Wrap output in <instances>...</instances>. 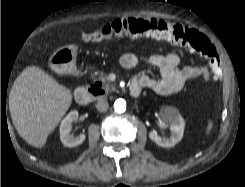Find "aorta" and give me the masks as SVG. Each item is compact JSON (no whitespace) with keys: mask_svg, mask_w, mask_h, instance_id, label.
<instances>
[{"mask_svg":"<svg viewBox=\"0 0 245 187\" xmlns=\"http://www.w3.org/2000/svg\"><path fill=\"white\" fill-rule=\"evenodd\" d=\"M114 108L117 112H124L126 110V101L124 99H117L114 103Z\"/></svg>","mask_w":245,"mask_h":187,"instance_id":"obj_1","label":"aorta"}]
</instances>
